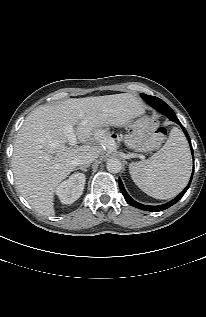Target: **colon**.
Returning a JSON list of instances; mask_svg holds the SVG:
<instances>
[{
	"label": "colon",
	"mask_w": 206,
	"mask_h": 317,
	"mask_svg": "<svg viewBox=\"0 0 206 317\" xmlns=\"http://www.w3.org/2000/svg\"><path fill=\"white\" fill-rule=\"evenodd\" d=\"M144 125L152 131V143L154 145L160 144L167 134L166 128L160 126L156 121L152 119L145 120Z\"/></svg>",
	"instance_id": "obj_1"
}]
</instances>
